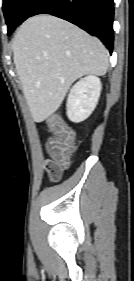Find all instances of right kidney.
<instances>
[{"instance_id": "right-kidney-1", "label": "right kidney", "mask_w": 134, "mask_h": 281, "mask_svg": "<svg viewBox=\"0 0 134 281\" xmlns=\"http://www.w3.org/2000/svg\"><path fill=\"white\" fill-rule=\"evenodd\" d=\"M102 84L98 77L89 75L80 79L70 90L67 99V116L73 122H82L95 109Z\"/></svg>"}]
</instances>
